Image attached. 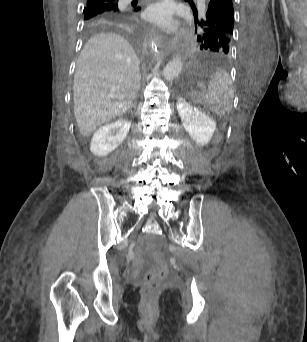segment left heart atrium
Instances as JSON below:
<instances>
[{
	"mask_svg": "<svg viewBox=\"0 0 307 342\" xmlns=\"http://www.w3.org/2000/svg\"><path fill=\"white\" fill-rule=\"evenodd\" d=\"M172 14V8L163 3L150 6L147 11L148 19L163 28L172 26Z\"/></svg>",
	"mask_w": 307,
	"mask_h": 342,
	"instance_id": "39dd6f15",
	"label": "left heart atrium"
}]
</instances>
